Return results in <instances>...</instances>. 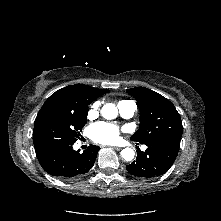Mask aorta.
Segmentation results:
<instances>
[{"mask_svg":"<svg viewBox=\"0 0 221 221\" xmlns=\"http://www.w3.org/2000/svg\"><path fill=\"white\" fill-rule=\"evenodd\" d=\"M101 114L106 119H113L117 116V107L112 103L105 104L101 109ZM135 152L132 148H125L121 151V156L126 161L133 160Z\"/></svg>","mask_w":221,"mask_h":221,"instance_id":"762f6f07","label":"aorta"}]
</instances>
